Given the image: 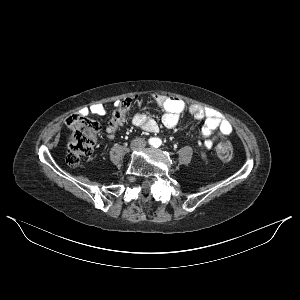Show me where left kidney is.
I'll list each match as a JSON object with an SVG mask.
<instances>
[{
	"mask_svg": "<svg viewBox=\"0 0 300 300\" xmlns=\"http://www.w3.org/2000/svg\"><path fill=\"white\" fill-rule=\"evenodd\" d=\"M203 158L206 156L204 153H202V155H201Z\"/></svg>",
	"mask_w": 300,
	"mask_h": 300,
	"instance_id": "obj_1",
	"label": "left kidney"
}]
</instances>
